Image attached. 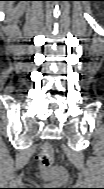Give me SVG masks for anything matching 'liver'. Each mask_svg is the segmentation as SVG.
I'll return each instance as SVG.
<instances>
[{
	"label": "liver",
	"instance_id": "obj_1",
	"mask_svg": "<svg viewBox=\"0 0 104 189\" xmlns=\"http://www.w3.org/2000/svg\"><path fill=\"white\" fill-rule=\"evenodd\" d=\"M12 3H9L7 6H8V8H11L12 7Z\"/></svg>",
	"mask_w": 104,
	"mask_h": 189
}]
</instances>
